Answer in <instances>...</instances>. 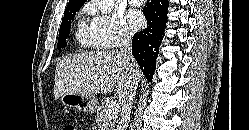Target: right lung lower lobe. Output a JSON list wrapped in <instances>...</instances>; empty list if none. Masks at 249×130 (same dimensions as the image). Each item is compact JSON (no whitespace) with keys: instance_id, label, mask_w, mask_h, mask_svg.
<instances>
[{"instance_id":"obj_1","label":"right lung lower lobe","mask_w":249,"mask_h":130,"mask_svg":"<svg viewBox=\"0 0 249 130\" xmlns=\"http://www.w3.org/2000/svg\"><path fill=\"white\" fill-rule=\"evenodd\" d=\"M168 6V0L147 1L143 9L147 28L133 36L132 54L149 82L156 68V58L167 23Z\"/></svg>"}]
</instances>
